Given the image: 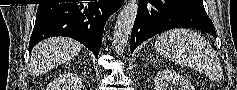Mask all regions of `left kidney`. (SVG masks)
<instances>
[{"label": "left kidney", "mask_w": 237, "mask_h": 90, "mask_svg": "<svg viewBox=\"0 0 237 90\" xmlns=\"http://www.w3.org/2000/svg\"><path fill=\"white\" fill-rule=\"evenodd\" d=\"M155 90H194L190 80L172 70H159L154 78Z\"/></svg>", "instance_id": "obj_1"}]
</instances>
